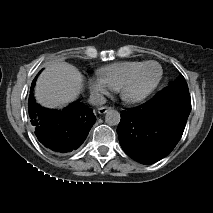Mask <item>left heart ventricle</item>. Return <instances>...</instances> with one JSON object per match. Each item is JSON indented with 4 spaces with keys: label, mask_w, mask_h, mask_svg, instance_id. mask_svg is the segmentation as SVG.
I'll use <instances>...</instances> for the list:
<instances>
[{
    "label": "left heart ventricle",
    "mask_w": 213,
    "mask_h": 213,
    "mask_svg": "<svg viewBox=\"0 0 213 213\" xmlns=\"http://www.w3.org/2000/svg\"><path fill=\"white\" fill-rule=\"evenodd\" d=\"M158 68L155 65L145 66L127 89L129 96H137L148 90L156 81Z\"/></svg>",
    "instance_id": "b2bd125f"
}]
</instances>
